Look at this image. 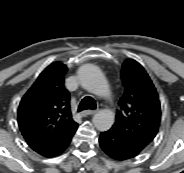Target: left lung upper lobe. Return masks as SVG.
<instances>
[{
    "mask_svg": "<svg viewBox=\"0 0 184 173\" xmlns=\"http://www.w3.org/2000/svg\"><path fill=\"white\" fill-rule=\"evenodd\" d=\"M125 92L112 130L137 151H143L156 136L161 107L157 91L144 68L135 60H126L121 72Z\"/></svg>",
    "mask_w": 184,
    "mask_h": 173,
    "instance_id": "1",
    "label": "left lung upper lobe"
}]
</instances>
